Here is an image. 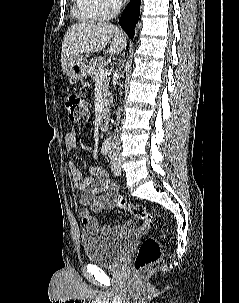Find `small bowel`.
Here are the masks:
<instances>
[{
  "label": "small bowel",
  "mask_w": 239,
  "mask_h": 303,
  "mask_svg": "<svg viewBox=\"0 0 239 303\" xmlns=\"http://www.w3.org/2000/svg\"><path fill=\"white\" fill-rule=\"evenodd\" d=\"M78 145V134L75 129L67 133L65 137V147L68 152H74ZM69 172L75 187L82 192L80 202L84 206L89 205L95 213H100L103 209L112 208V195L117 191V185L109 178L105 169L98 165L88 167L90 177H83L81 170L75 162L69 163ZM102 193H107L101 198ZM80 217L86 230L90 234H122L135 230V225L131 221L126 222L125 226L103 225L99 226L95 217L91 216L87 208L80 210Z\"/></svg>",
  "instance_id": "1"
}]
</instances>
